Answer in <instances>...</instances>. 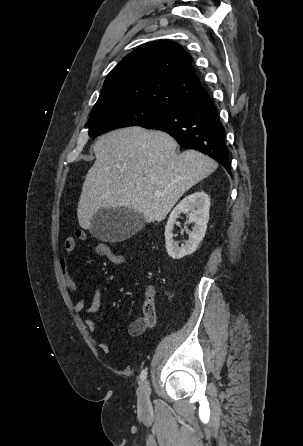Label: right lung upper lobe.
<instances>
[{"instance_id": "cb5924a9", "label": "right lung upper lobe", "mask_w": 303, "mask_h": 446, "mask_svg": "<svg viewBox=\"0 0 303 446\" xmlns=\"http://www.w3.org/2000/svg\"><path fill=\"white\" fill-rule=\"evenodd\" d=\"M192 57L170 41L132 51L108 74L94 108L143 104L169 111L208 93L191 65Z\"/></svg>"}]
</instances>
